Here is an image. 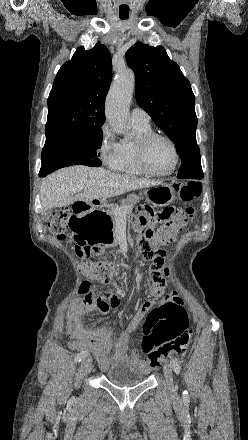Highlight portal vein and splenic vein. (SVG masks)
Here are the masks:
<instances>
[{"label": "portal vein and splenic vein", "instance_id": "portal-vein-and-splenic-vein-1", "mask_svg": "<svg viewBox=\"0 0 248 440\" xmlns=\"http://www.w3.org/2000/svg\"><path fill=\"white\" fill-rule=\"evenodd\" d=\"M81 189L75 190L74 192L80 191ZM126 210H117L115 213L118 216L119 220L126 219Z\"/></svg>", "mask_w": 248, "mask_h": 440}]
</instances>
